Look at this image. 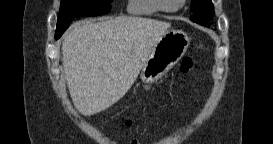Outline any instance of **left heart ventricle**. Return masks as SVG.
Instances as JSON below:
<instances>
[{
	"instance_id": "1",
	"label": "left heart ventricle",
	"mask_w": 273,
	"mask_h": 144,
	"mask_svg": "<svg viewBox=\"0 0 273 144\" xmlns=\"http://www.w3.org/2000/svg\"><path fill=\"white\" fill-rule=\"evenodd\" d=\"M180 0H166L165 4L169 8H173L179 4Z\"/></svg>"
}]
</instances>
